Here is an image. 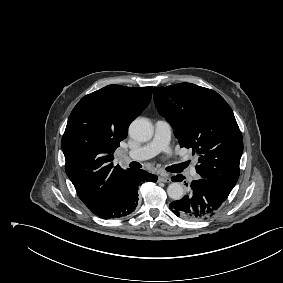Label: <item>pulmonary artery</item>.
Segmentation results:
<instances>
[{
    "instance_id": "pulmonary-artery-1",
    "label": "pulmonary artery",
    "mask_w": 283,
    "mask_h": 283,
    "mask_svg": "<svg viewBox=\"0 0 283 283\" xmlns=\"http://www.w3.org/2000/svg\"><path fill=\"white\" fill-rule=\"evenodd\" d=\"M171 125L166 120H158L155 123L153 139L147 144L130 150L126 157L133 160L149 159L160 152H170ZM190 178L196 179L197 173L194 166L190 168Z\"/></svg>"
}]
</instances>
